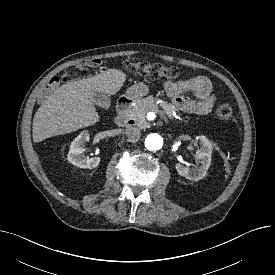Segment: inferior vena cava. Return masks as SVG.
Segmentation results:
<instances>
[{"label": "inferior vena cava", "instance_id": "1", "mask_svg": "<svg viewBox=\"0 0 275 275\" xmlns=\"http://www.w3.org/2000/svg\"><path fill=\"white\" fill-rule=\"evenodd\" d=\"M125 134L130 141H135L140 137V129L137 126L129 125L125 129Z\"/></svg>", "mask_w": 275, "mask_h": 275}]
</instances>
